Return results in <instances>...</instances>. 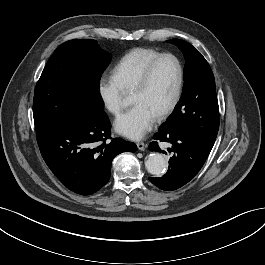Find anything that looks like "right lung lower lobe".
<instances>
[{"label": "right lung lower lobe", "instance_id": "1", "mask_svg": "<svg viewBox=\"0 0 265 265\" xmlns=\"http://www.w3.org/2000/svg\"><path fill=\"white\" fill-rule=\"evenodd\" d=\"M110 128L103 110L85 107L37 133V142L46 164L69 190L91 195L109 181L116 155L137 150L121 138L106 142Z\"/></svg>", "mask_w": 265, "mask_h": 265}]
</instances>
